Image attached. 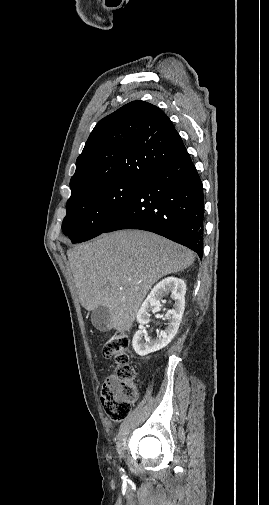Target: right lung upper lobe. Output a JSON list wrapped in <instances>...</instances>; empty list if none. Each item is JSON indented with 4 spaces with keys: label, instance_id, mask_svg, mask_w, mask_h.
Listing matches in <instances>:
<instances>
[{
    "label": "right lung upper lobe",
    "instance_id": "cb5924a9",
    "mask_svg": "<svg viewBox=\"0 0 269 505\" xmlns=\"http://www.w3.org/2000/svg\"><path fill=\"white\" fill-rule=\"evenodd\" d=\"M186 152L167 115L145 101H132L100 120L77 158L71 197L96 185L142 180Z\"/></svg>",
    "mask_w": 269,
    "mask_h": 505
}]
</instances>
